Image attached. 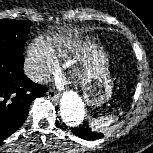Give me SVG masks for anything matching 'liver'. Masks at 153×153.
I'll return each mask as SVG.
<instances>
[{
    "label": "liver",
    "mask_w": 153,
    "mask_h": 153,
    "mask_svg": "<svg viewBox=\"0 0 153 153\" xmlns=\"http://www.w3.org/2000/svg\"><path fill=\"white\" fill-rule=\"evenodd\" d=\"M76 51H77L78 53L85 54V50H84V49L76 48Z\"/></svg>",
    "instance_id": "1"
}]
</instances>
